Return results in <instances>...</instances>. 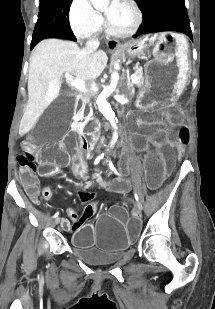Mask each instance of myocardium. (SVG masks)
<instances>
[{"mask_svg": "<svg viewBox=\"0 0 215 309\" xmlns=\"http://www.w3.org/2000/svg\"><path fill=\"white\" fill-rule=\"evenodd\" d=\"M121 8L131 14V22L125 23L122 27L113 25L112 19H106L102 23V30H107L108 34H113L114 38H131L132 33L136 30L137 26L140 25V15L138 10L131 5H122Z\"/></svg>", "mask_w": 215, "mask_h": 309, "instance_id": "myocardium-1", "label": "myocardium"}]
</instances>
